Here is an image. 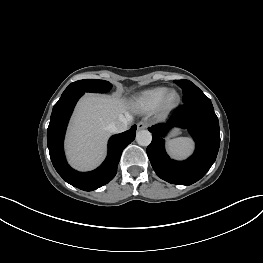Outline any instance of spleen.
Listing matches in <instances>:
<instances>
[{
	"mask_svg": "<svg viewBox=\"0 0 263 263\" xmlns=\"http://www.w3.org/2000/svg\"><path fill=\"white\" fill-rule=\"evenodd\" d=\"M194 148L193 141L189 138L179 137L169 140L167 150L170 155L177 159H184L189 156Z\"/></svg>",
	"mask_w": 263,
	"mask_h": 263,
	"instance_id": "1",
	"label": "spleen"
}]
</instances>
